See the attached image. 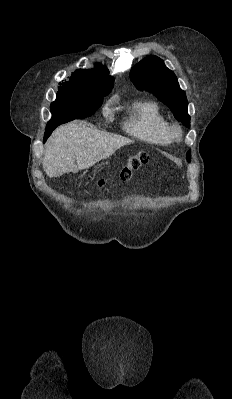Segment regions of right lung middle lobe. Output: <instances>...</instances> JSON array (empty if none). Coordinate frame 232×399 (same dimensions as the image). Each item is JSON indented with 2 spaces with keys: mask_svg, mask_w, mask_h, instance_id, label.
Returning a JSON list of instances; mask_svg holds the SVG:
<instances>
[{
  "mask_svg": "<svg viewBox=\"0 0 232 399\" xmlns=\"http://www.w3.org/2000/svg\"><path fill=\"white\" fill-rule=\"evenodd\" d=\"M102 94H62L57 92V99L51 103L53 117H72L81 119L92 116L101 106Z\"/></svg>",
  "mask_w": 232,
  "mask_h": 399,
  "instance_id": "dd1d6c3e",
  "label": "right lung middle lobe"
}]
</instances>
